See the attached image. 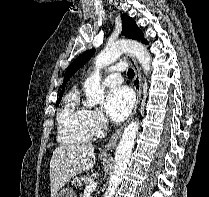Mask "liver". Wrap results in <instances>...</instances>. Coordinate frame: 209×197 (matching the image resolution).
I'll list each match as a JSON object with an SVG mask.
<instances>
[{
	"label": "liver",
	"mask_w": 209,
	"mask_h": 197,
	"mask_svg": "<svg viewBox=\"0 0 209 197\" xmlns=\"http://www.w3.org/2000/svg\"><path fill=\"white\" fill-rule=\"evenodd\" d=\"M92 144H62L58 146L50 161L51 197L79 173L95 165Z\"/></svg>",
	"instance_id": "1"
}]
</instances>
